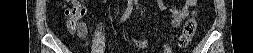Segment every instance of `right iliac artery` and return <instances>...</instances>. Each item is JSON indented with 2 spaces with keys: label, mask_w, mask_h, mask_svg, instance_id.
Instances as JSON below:
<instances>
[{
  "label": "right iliac artery",
  "mask_w": 253,
  "mask_h": 53,
  "mask_svg": "<svg viewBox=\"0 0 253 53\" xmlns=\"http://www.w3.org/2000/svg\"><path fill=\"white\" fill-rule=\"evenodd\" d=\"M132 9H133L132 3L129 2V3H128V7H127L125 13L123 14V16H122L121 19H120V22H124V21L130 16V14H131V12H132Z\"/></svg>",
  "instance_id": "right-iliac-artery-1"
}]
</instances>
